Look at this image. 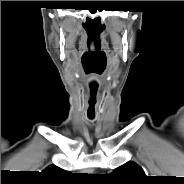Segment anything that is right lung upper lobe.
Returning a JSON list of instances; mask_svg holds the SVG:
<instances>
[{
  "label": "right lung upper lobe",
  "mask_w": 184,
  "mask_h": 184,
  "mask_svg": "<svg viewBox=\"0 0 184 184\" xmlns=\"http://www.w3.org/2000/svg\"><path fill=\"white\" fill-rule=\"evenodd\" d=\"M43 173L51 178H59L62 176H65V171L55 165H51L48 168H46Z\"/></svg>",
  "instance_id": "cb5924a9"
}]
</instances>
